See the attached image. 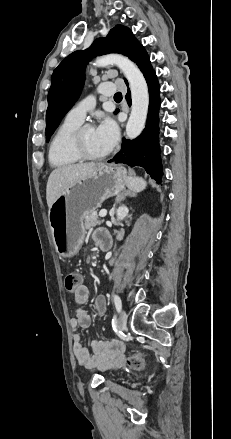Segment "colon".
Returning a JSON list of instances; mask_svg holds the SVG:
<instances>
[{"mask_svg":"<svg viewBox=\"0 0 231 439\" xmlns=\"http://www.w3.org/2000/svg\"><path fill=\"white\" fill-rule=\"evenodd\" d=\"M79 283H85L82 270H67L65 278V287L71 295H75L76 287ZM127 366L132 370H141L145 366L144 354L136 352L126 359Z\"/></svg>","mask_w":231,"mask_h":439,"instance_id":"obj_1","label":"colon"}]
</instances>
